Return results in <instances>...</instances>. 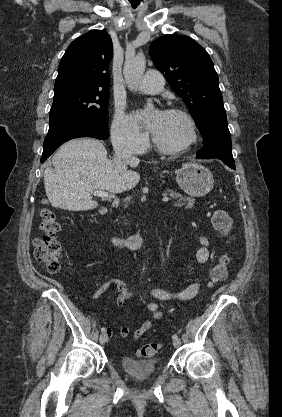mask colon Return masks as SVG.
Returning <instances> with one entry per match:
<instances>
[{"label": "colon", "instance_id": "colon-1", "mask_svg": "<svg viewBox=\"0 0 282 417\" xmlns=\"http://www.w3.org/2000/svg\"><path fill=\"white\" fill-rule=\"evenodd\" d=\"M41 233L36 242L35 255L39 264L43 265L49 272L56 273L62 265L61 248L56 239L61 230V224L54 210L45 205L39 211ZM213 228L221 237H230L231 217L226 210L217 209L209 214ZM231 238V237H230ZM229 268V259L221 257L212 267L210 272L209 285L214 286L226 279ZM159 345L148 343L139 347V356L151 357L157 354Z\"/></svg>", "mask_w": 282, "mask_h": 417}]
</instances>
